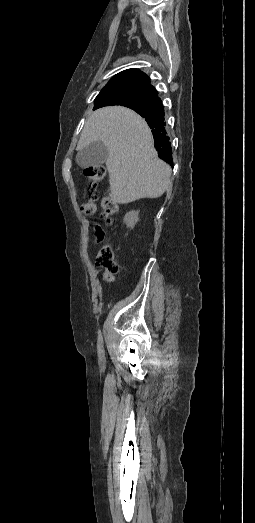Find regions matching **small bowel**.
<instances>
[{
	"label": "small bowel",
	"instance_id": "obj_1",
	"mask_svg": "<svg viewBox=\"0 0 255 523\" xmlns=\"http://www.w3.org/2000/svg\"><path fill=\"white\" fill-rule=\"evenodd\" d=\"M104 232L99 225H95V243H100L104 240Z\"/></svg>",
	"mask_w": 255,
	"mask_h": 523
}]
</instances>
